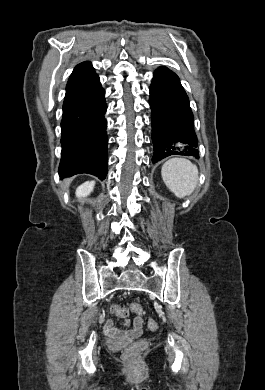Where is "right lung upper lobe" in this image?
<instances>
[{"label": "right lung upper lobe", "mask_w": 265, "mask_h": 390, "mask_svg": "<svg viewBox=\"0 0 265 390\" xmlns=\"http://www.w3.org/2000/svg\"><path fill=\"white\" fill-rule=\"evenodd\" d=\"M86 63H88V62H82V63L78 64L76 67L81 66V65H84V64H86Z\"/></svg>", "instance_id": "right-lung-upper-lobe-1"}]
</instances>
